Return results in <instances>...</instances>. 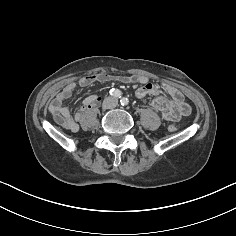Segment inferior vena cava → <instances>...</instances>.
<instances>
[{
	"label": "inferior vena cava",
	"instance_id": "602c4592",
	"mask_svg": "<svg viewBox=\"0 0 236 236\" xmlns=\"http://www.w3.org/2000/svg\"><path fill=\"white\" fill-rule=\"evenodd\" d=\"M118 104V100L114 97H106L103 101V107L106 109L115 108Z\"/></svg>",
	"mask_w": 236,
	"mask_h": 236
}]
</instances>
